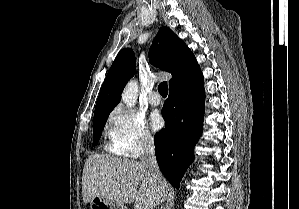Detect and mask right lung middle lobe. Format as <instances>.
<instances>
[{"instance_id": "obj_1", "label": "right lung middle lobe", "mask_w": 299, "mask_h": 209, "mask_svg": "<svg viewBox=\"0 0 299 209\" xmlns=\"http://www.w3.org/2000/svg\"><path fill=\"white\" fill-rule=\"evenodd\" d=\"M109 113L110 112L100 113V114H95L94 115V129H93L94 142H93V146L97 145V142L100 139V132H101V130H103V128L105 126V123L107 121Z\"/></svg>"}]
</instances>
